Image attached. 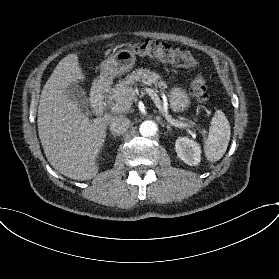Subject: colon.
Returning <instances> with one entry per match:
<instances>
[{
	"label": "colon",
	"instance_id": "colon-1",
	"mask_svg": "<svg viewBox=\"0 0 279 279\" xmlns=\"http://www.w3.org/2000/svg\"><path fill=\"white\" fill-rule=\"evenodd\" d=\"M130 48L140 56L156 58L176 67L192 68L196 64V60L192 54L173 48L164 43L144 41L142 43L130 45ZM191 91L193 96L200 103L207 104L209 102L207 81L202 75H196L192 79Z\"/></svg>",
	"mask_w": 279,
	"mask_h": 279
}]
</instances>
